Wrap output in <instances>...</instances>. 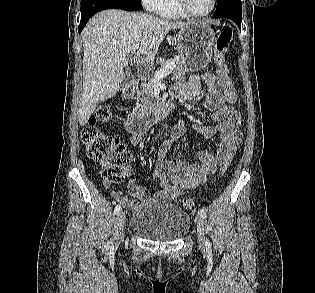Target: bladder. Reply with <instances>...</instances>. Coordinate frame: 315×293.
<instances>
[{"label": "bladder", "mask_w": 315, "mask_h": 293, "mask_svg": "<svg viewBox=\"0 0 315 293\" xmlns=\"http://www.w3.org/2000/svg\"><path fill=\"white\" fill-rule=\"evenodd\" d=\"M191 218L178 205L165 202L147 204L130 220L137 235L158 241H176L189 231Z\"/></svg>", "instance_id": "31cf9c89"}]
</instances>
